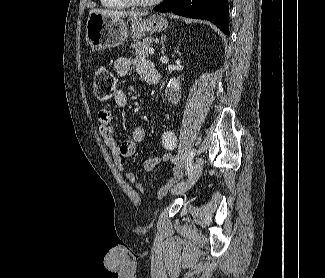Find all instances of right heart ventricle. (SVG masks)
Here are the masks:
<instances>
[{
  "label": "right heart ventricle",
  "instance_id": "1",
  "mask_svg": "<svg viewBox=\"0 0 325 278\" xmlns=\"http://www.w3.org/2000/svg\"><path fill=\"white\" fill-rule=\"evenodd\" d=\"M103 7L111 10H122L129 7L124 0H100Z\"/></svg>",
  "mask_w": 325,
  "mask_h": 278
}]
</instances>
